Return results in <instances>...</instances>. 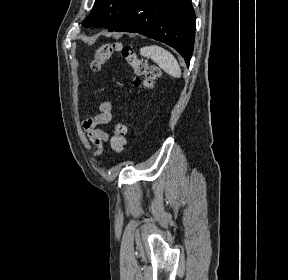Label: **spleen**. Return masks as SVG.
Instances as JSON below:
<instances>
[{
    "label": "spleen",
    "mask_w": 288,
    "mask_h": 280,
    "mask_svg": "<svg viewBox=\"0 0 288 280\" xmlns=\"http://www.w3.org/2000/svg\"><path fill=\"white\" fill-rule=\"evenodd\" d=\"M142 56L150 58L169 75L180 78L181 69L175 57L166 49L158 45L145 46L140 49Z\"/></svg>",
    "instance_id": "spleen-1"
}]
</instances>
